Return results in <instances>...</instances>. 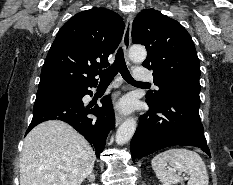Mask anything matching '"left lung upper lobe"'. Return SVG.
I'll return each mask as SVG.
<instances>
[{
  "instance_id": "left-lung-upper-lobe-1",
  "label": "left lung upper lobe",
  "mask_w": 233,
  "mask_h": 185,
  "mask_svg": "<svg viewBox=\"0 0 233 185\" xmlns=\"http://www.w3.org/2000/svg\"><path fill=\"white\" fill-rule=\"evenodd\" d=\"M132 42L146 47L147 58L142 65L153 70L154 83L159 87L146 95L147 103L159 106L180 88H200L196 49L179 22L154 9L142 10L133 21Z\"/></svg>"
}]
</instances>
